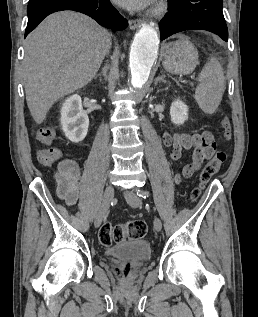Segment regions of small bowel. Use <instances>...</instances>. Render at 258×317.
Masks as SVG:
<instances>
[{
	"label": "small bowel",
	"instance_id": "obj_1",
	"mask_svg": "<svg viewBox=\"0 0 258 317\" xmlns=\"http://www.w3.org/2000/svg\"><path fill=\"white\" fill-rule=\"evenodd\" d=\"M55 136V131L50 126H45L37 131L39 142L49 145ZM164 146L169 150V156L174 161L182 158L183 152L191 151L189 162L182 164L181 173L175 175V182L179 183L182 177H190L200 169L203 162L209 160L216 149L213 134L210 131L187 134L176 133L174 135L164 132L162 136ZM81 179L80 167L74 160L65 159L58 163L55 173L57 195L68 206L74 205L79 197Z\"/></svg>",
	"mask_w": 258,
	"mask_h": 317
}]
</instances>
